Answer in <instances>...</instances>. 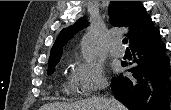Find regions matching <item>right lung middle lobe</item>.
Here are the masks:
<instances>
[{"mask_svg": "<svg viewBox=\"0 0 171 110\" xmlns=\"http://www.w3.org/2000/svg\"><path fill=\"white\" fill-rule=\"evenodd\" d=\"M60 58H61V56H56L54 58L49 59L48 71H47L48 75H50L53 72V70H54L56 64L58 63V61L60 60Z\"/></svg>", "mask_w": 171, "mask_h": 110, "instance_id": "obj_1", "label": "right lung middle lobe"}]
</instances>
